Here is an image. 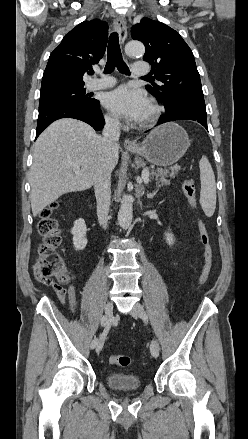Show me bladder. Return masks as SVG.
Masks as SVG:
<instances>
[{"instance_id": "obj_1", "label": "bladder", "mask_w": 248, "mask_h": 439, "mask_svg": "<svg viewBox=\"0 0 248 439\" xmlns=\"http://www.w3.org/2000/svg\"><path fill=\"white\" fill-rule=\"evenodd\" d=\"M105 381L110 388L117 391H134L142 387L141 378L132 373H108Z\"/></svg>"}]
</instances>
